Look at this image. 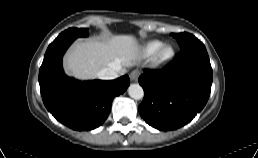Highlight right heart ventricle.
<instances>
[{
  "instance_id": "right-heart-ventricle-1",
  "label": "right heart ventricle",
  "mask_w": 258,
  "mask_h": 158,
  "mask_svg": "<svg viewBox=\"0 0 258 158\" xmlns=\"http://www.w3.org/2000/svg\"><path fill=\"white\" fill-rule=\"evenodd\" d=\"M161 46H162V42L161 41H159V40H152V41L148 42L145 45V47L143 49V54L145 56H151L154 53H156Z\"/></svg>"
}]
</instances>
